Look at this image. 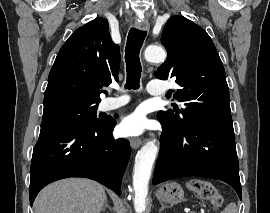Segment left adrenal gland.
<instances>
[{
    "label": "left adrenal gland",
    "instance_id": "1",
    "mask_svg": "<svg viewBox=\"0 0 270 213\" xmlns=\"http://www.w3.org/2000/svg\"><path fill=\"white\" fill-rule=\"evenodd\" d=\"M165 208H166V206L164 204H162L161 208L159 209V212H162Z\"/></svg>",
    "mask_w": 270,
    "mask_h": 213
}]
</instances>
